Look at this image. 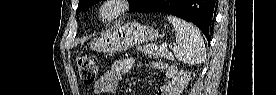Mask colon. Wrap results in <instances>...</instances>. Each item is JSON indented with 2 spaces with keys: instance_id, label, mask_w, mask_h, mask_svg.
<instances>
[{
  "instance_id": "colon-1",
  "label": "colon",
  "mask_w": 277,
  "mask_h": 95,
  "mask_svg": "<svg viewBox=\"0 0 277 95\" xmlns=\"http://www.w3.org/2000/svg\"><path fill=\"white\" fill-rule=\"evenodd\" d=\"M77 70L85 84L93 85L98 72L97 59L89 55L80 57L77 62Z\"/></svg>"
}]
</instances>
